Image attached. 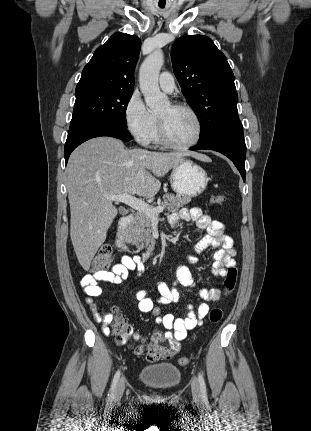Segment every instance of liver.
I'll list each match as a JSON object with an SVG mask.
<instances>
[{
    "mask_svg": "<svg viewBox=\"0 0 311 431\" xmlns=\"http://www.w3.org/2000/svg\"><path fill=\"white\" fill-rule=\"evenodd\" d=\"M192 156L210 162L196 152H147L126 150L121 140L93 138L72 152L66 168L70 204V237L83 269L90 263L118 214L105 196L154 198L161 188L159 178Z\"/></svg>",
    "mask_w": 311,
    "mask_h": 431,
    "instance_id": "liver-1",
    "label": "liver"
}]
</instances>
